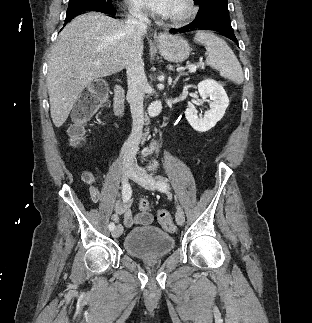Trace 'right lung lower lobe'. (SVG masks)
Returning <instances> with one entry per match:
<instances>
[{
	"label": "right lung lower lobe",
	"mask_w": 312,
	"mask_h": 323,
	"mask_svg": "<svg viewBox=\"0 0 312 323\" xmlns=\"http://www.w3.org/2000/svg\"><path fill=\"white\" fill-rule=\"evenodd\" d=\"M93 11H98V12H103V13H107V14H110L111 17H114L115 18V15H116V10H114L113 8L112 9H104V10H99V9H94ZM80 13L74 15V16H70V17H66L65 19V23H64V26L70 22V20L72 18H74L75 16L79 15Z\"/></svg>",
	"instance_id": "1"
}]
</instances>
